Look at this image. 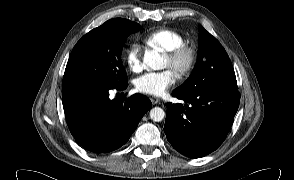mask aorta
<instances>
[{"mask_svg": "<svg viewBox=\"0 0 294 180\" xmlns=\"http://www.w3.org/2000/svg\"><path fill=\"white\" fill-rule=\"evenodd\" d=\"M144 63L152 70H162L166 67L164 58L156 50H149L145 53ZM164 117L165 112L162 108L154 107L150 110L151 120L160 122Z\"/></svg>", "mask_w": 294, "mask_h": 180, "instance_id": "762f6f07", "label": "aorta"}]
</instances>
